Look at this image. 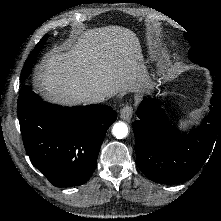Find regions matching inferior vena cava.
<instances>
[{
	"label": "inferior vena cava",
	"mask_w": 221,
	"mask_h": 221,
	"mask_svg": "<svg viewBox=\"0 0 221 221\" xmlns=\"http://www.w3.org/2000/svg\"><path fill=\"white\" fill-rule=\"evenodd\" d=\"M106 95L103 93H94V94H89L86 96V100L89 103H97V102H102L104 101Z\"/></svg>",
	"instance_id": "inferior-vena-cava-1"
}]
</instances>
